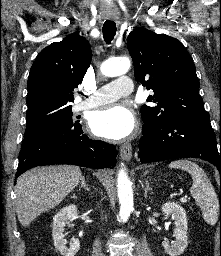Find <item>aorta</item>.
I'll use <instances>...</instances> for the list:
<instances>
[{
	"label": "aorta",
	"instance_id": "obj_1",
	"mask_svg": "<svg viewBox=\"0 0 221 256\" xmlns=\"http://www.w3.org/2000/svg\"><path fill=\"white\" fill-rule=\"evenodd\" d=\"M130 65V60L126 57L108 59L101 65V72L105 76L116 77L127 73ZM117 184L120 203L119 215L121 221L125 222L133 210V190L131 181L123 169L119 171Z\"/></svg>",
	"mask_w": 221,
	"mask_h": 256
}]
</instances>
